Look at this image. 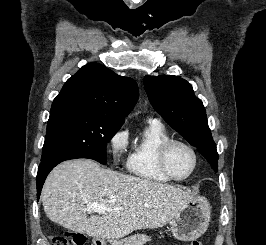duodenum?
Here are the masks:
<instances>
[{
  "label": "duodenum",
  "instance_id": "1",
  "mask_svg": "<svg viewBox=\"0 0 266 245\" xmlns=\"http://www.w3.org/2000/svg\"><path fill=\"white\" fill-rule=\"evenodd\" d=\"M93 245H111L110 237H93Z\"/></svg>",
  "mask_w": 266,
  "mask_h": 245
}]
</instances>
